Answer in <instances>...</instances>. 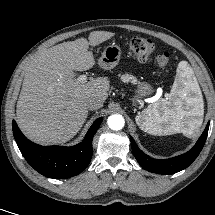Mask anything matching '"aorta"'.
Listing matches in <instances>:
<instances>
[{
  "mask_svg": "<svg viewBox=\"0 0 215 215\" xmlns=\"http://www.w3.org/2000/svg\"><path fill=\"white\" fill-rule=\"evenodd\" d=\"M109 128L112 130H120L124 127V118L121 115H111L107 120Z\"/></svg>",
  "mask_w": 215,
  "mask_h": 215,
  "instance_id": "1",
  "label": "aorta"
}]
</instances>
